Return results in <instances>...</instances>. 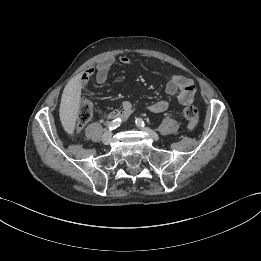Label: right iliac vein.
I'll use <instances>...</instances> for the list:
<instances>
[{
    "label": "right iliac vein",
    "mask_w": 261,
    "mask_h": 261,
    "mask_svg": "<svg viewBox=\"0 0 261 261\" xmlns=\"http://www.w3.org/2000/svg\"><path fill=\"white\" fill-rule=\"evenodd\" d=\"M112 140V133L110 131H107L104 133L103 137H102V142L105 145H108Z\"/></svg>",
    "instance_id": "right-iliac-vein-1"
}]
</instances>
